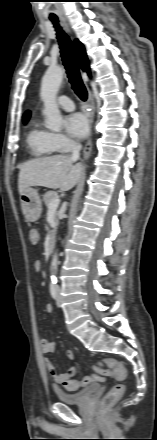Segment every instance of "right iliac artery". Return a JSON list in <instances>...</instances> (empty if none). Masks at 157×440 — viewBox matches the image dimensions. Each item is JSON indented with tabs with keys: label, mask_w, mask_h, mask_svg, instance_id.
Masks as SVG:
<instances>
[{
	"label": "right iliac artery",
	"mask_w": 157,
	"mask_h": 440,
	"mask_svg": "<svg viewBox=\"0 0 157 440\" xmlns=\"http://www.w3.org/2000/svg\"><path fill=\"white\" fill-rule=\"evenodd\" d=\"M50 293L53 299L57 298V286H56V282H52L50 284Z\"/></svg>",
	"instance_id": "obj_1"
}]
</instances>
